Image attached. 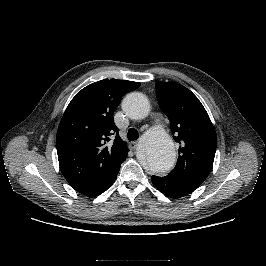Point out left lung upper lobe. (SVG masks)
Wrapping results in <instances>:
<instances>
[{"mask_svg":"<svg viewBox=\"0 0 266 266\" xmlns=\"http://www.w3.org/2000/svg\"><path fill=\"white\" fill-rule=\"evenodd\" d=\"M160 108L170 120L179 157L169 175L200 186L209 175L216 152L217 137L211 120L199 99L186 87L157 82Z\"/></svg>","mask_w":266,"mask_h":266,"instance_id":"1","label":"left lung upper lobe"}]
</instances>
